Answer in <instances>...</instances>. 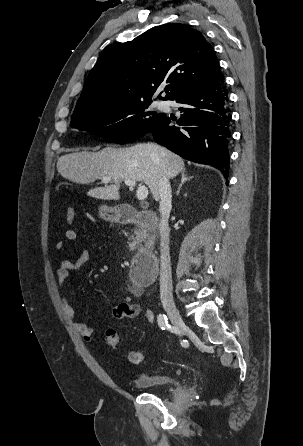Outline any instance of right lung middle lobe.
Returning <instances> with one entry per match:
<instances>
[{"instance_id":"1","label":"right lung middle lobe","mask_w":303,"mask_h":446,"mask_svg":"<svg viewBox=\"0 0 303 446\" xmlns=\"http://www.w3.org/2000/svg\"><path fill=\"white\" fill-rule=\"evenodd\" d=\"M152 101L102 106L74 115L70 126L96 134L113 143L124 144L149 133L164 117L162 113L146 112Z\"/></svg>"}]
</instances>
